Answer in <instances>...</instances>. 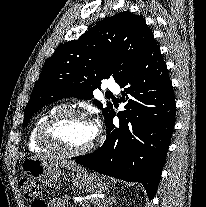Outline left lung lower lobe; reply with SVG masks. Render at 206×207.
Wrapping results in <instances>:
<instances>
[{"label":"left lung lower lobe","instance_id":"1","mask_svg":"<svg viewBox=\"0 0 206 207\" xmlns=\"http://www.w3.org/2000/svg\"><path fill=\"white\" fill-rule=\"evenodd\" d=\"M127 102L106 122L104 144L76 162L101 174L142 183L152 200L157 192L175 125L176 104L166 64L152 46L134 71L119 83Z\"/></svg>","mask_w":206,"mask_h":207}]
</instances>
